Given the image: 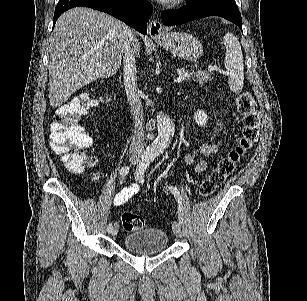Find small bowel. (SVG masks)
<instances>
[{
  "label": "small bowel",
  "mask_w": 307,
  "mask_h": 301,
  "mask_svg": "<svg viewBox=\"0 0 307 301\" xmlns=\"http://www.w3.org/2000/svg\"><path fill=\"white\" fill-rule=\"evenodd\" d=\"M218 149L217 145H209V144H203L202 146L199 147L197 153H194L192 155H189L186 157V161L191 163L194 162L196 159L197 155L201 156H209L216 152ZM207 167V164L203 160H199L196 163V170L197 171H203ZM97 177H94L96 179ZM140 190V186L137 183H132L128 187L123 188L120 192H118L114 199H113V204L115 206H121L125 204L127 201H129L131 198H133Z\"/></svg>",
  "instance_id": "small-bowel-1"
}]
</instances>
